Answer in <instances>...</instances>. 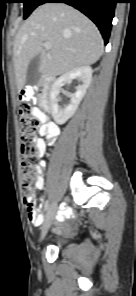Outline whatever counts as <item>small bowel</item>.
I'll use <instances>...</instances> for the list:
<instances>
[{
    "label": "small bowel",
    "instance_id": "1",
    "mask_svg": "<svg viewBox=\"0 0 136 296\" xmlns=\"http://www.w3.org/2000/svg\"><path fill=\"white\" fill-rule=\"evenodd\" d=\"M26 90L30 91L31 87H27ZM36 116L38 117L39 120L42 121V125L39 128V135L42 138H38L36 140V143L38 146V156L43 157V155L45 154L46 145L53 144L56 141L59 135V128L57 127V125L49 121L48 116L44 112L40 110H36ZM43 172H44V163L42 162L38 167L39 176L35 182V187L38 190H42L44 188ZM38 215H39L38 221H32V223L35 226H40L43 222L42 214L38 213ZM69 215H70V211L65 210L60 213L59 220H63L65 217H68Z\"/></svg>",
    "mask_w": 136,
    "mask_h": 296
}]
</instances>
